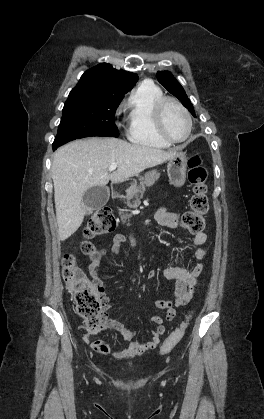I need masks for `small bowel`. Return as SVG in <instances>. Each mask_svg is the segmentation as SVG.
Wrapping results in <instances>:
<instances>
[{"label":"small bowel","mask_w":264,"mask_h":419,"mask_svg":"<svg viewBox=\"0 0 264 419\" xmlns=\"http://www.w3.org/2000/svg\"><path fill=\"white\" fill-rule=\"evenodd\" d=\"M155 220L161 226L170 228L179 227V218L176 214H173L167 210L166 207H160L155 212ZM148 225V222L145 223ZM206 241L207 233L205 231L198 232L193 240L191 246L195 248L193 257L199 263L193 268L187 269L179 265H171L163 270V275L166 279L175 281V288L172 299H159L156 301L158 309L165 312L164 316L156 315L150 319V322L156 325L155 329L151 332V338L146 342H134L132 341L134 331L128 329L123 323L111 318L108 314L110 309L109 297L106 294V289L98 276V268L100 261H92L88 268L87 274L95 285L98 294L105 303L104 313L102 318L101 327L93 332H87L83 336L85 343L89 344L90 347L98 354L110 355L117 360L131 359L137 354H143L149 350L155 349L159 343L160 338L165 332L164 322L171 321L176 314L175 308L186 305L193 297L194 290L199 283V277L204 270L203 260L206 256ZM132 242L135 243V238H132ZM125 243V237L122 235H115L112 241V252L117 253L121 246ZM106 251V248L101 250V254ZM156 273L150 271L148 274L149 279H154ZM103 330H114L116 331L125 342V346L118 351L112 352L108 343L101 339L92 340V337L103 331Z\"/></svg>","instance_id":"c3829d8e"}]
</instances>
